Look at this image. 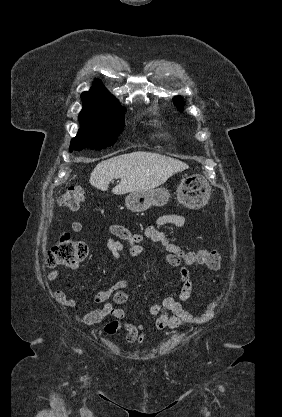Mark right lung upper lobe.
I'll return each mask as SVG.
<instances>
[{
	"instance_id": "cb5924a9",
	"label": "right lung upper lobe",
	"mask_w": 282,
	"mask_h": 417,
	"mask_svg": "<svg viewBox=\"0 0 282 417\" xmlns=\"http://www.w3.org/2000/svg\"><path fill=\"white\" fill-rule=\"evenodd\" d=\"M82 100H89V99H106V98H114L111 93H109L103 84L96 80L94 82V86L91 88V90L87 92H83L81 95Z\"/></svg>"
}]
</instances>
